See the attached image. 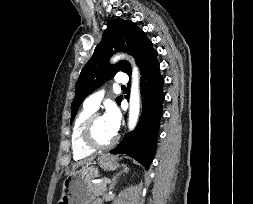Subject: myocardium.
Listing matches in <instances>:
<instances>
[{
    "mask_svg": "<svg viewBox=\"0 0 253 204\" xmlns=\"http://www.w3.org/2000/svg\"><path fill=\"white\" fill-rule=\"evenodd\" d=\"M103 116L99 112H94L86 121L83 128V140L85 144L93 150H105L111 148L118 141V134L107 143H99L94 136V127L99 117Z\"/></svg>",
    "mask_w": 253,
    "mask_h": 204,
    "instance_id": "obj_1",
    "label": "myocardium"
}]
</instances>
